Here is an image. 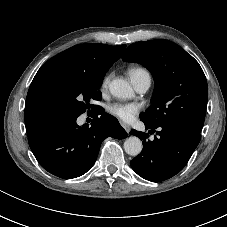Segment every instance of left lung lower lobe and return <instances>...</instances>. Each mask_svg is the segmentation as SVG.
I'll list each match as a JSON object with an SVG mask.
<instances>
[{
    "mask_svg": "<svg viewBox=\"0 0 227 227\" xmlns=\"http://www.w3.org/2000/svg\"><path fill=\"white\" fill-rule=\"evenodd\" d=\"M145 125L146 129H151L150 134L158 130L157 137L148 140V134L131 130V134L143 141V150L131 161V166L146 180L152 182L167 180L185 167L200 142V132L172 123L160 126L147 123Z\"/></svg>",
    "mask_w": 227,
    "mask_h": 227,
    "instance_id": "obj_1",
    "label": "left lung lower lobe"
}]
</instances>
